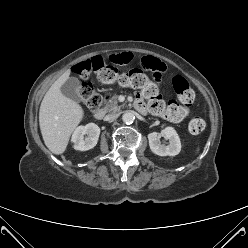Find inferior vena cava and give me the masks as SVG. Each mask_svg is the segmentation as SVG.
<instances>
[{"instance_id": "602c4592", "label": "inferior vena cava", "mask_w": 248, "mask_h": 248, "mask_svg": "<svg viewBox=\"0 0 248 248\" xmlns=\"http://www.w3.org/2000/svg\"><path fill=\"white\" fill-rule=\"evenodd\" d=\"M118 114L112 113V114H108L105 116L104 120L106 121H110V120H115L118 118Z\"/></svg>"}]
</instances>
